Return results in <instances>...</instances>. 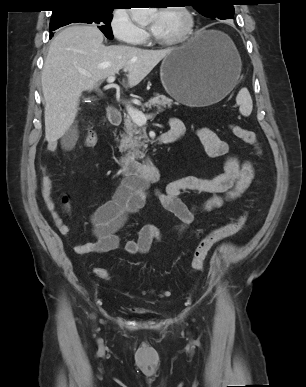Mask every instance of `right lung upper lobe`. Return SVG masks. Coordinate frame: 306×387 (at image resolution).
<instances>
[{"mask_svg":"<svg viewBox=\"0 0 306 387\" xmlns=\"http://www.w3.org/2000/svg\"><path fill=\"white\" fill-rule=\"evenodd\" d=\"M115 0H56L57 7L53 13L61 12L62 10L69 7L79 6H104L112 7Z\"/></svg>","mask_w":306,"mask_h":387,"instance_id":"cb5924a9","label":"right lung upper lobe"}]
</instances>
